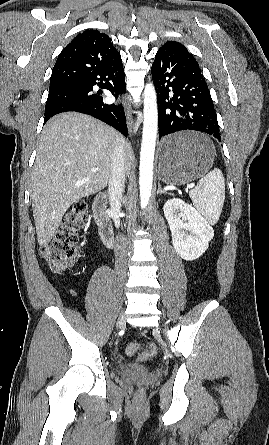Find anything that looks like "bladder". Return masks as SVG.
<instances>
[{
  "label": "bladder",
  "mask_w": 269,
  "mask_h": 445,
  "mask_svg": "<svg viewBox=\"0 0 269 445\" xmlns=\"http://www.w3.org/2000/svg\"><path fill=\"white\" fill-rule=\"evenodd\" d=\"M127 369H130V370H133V371H136V372H139V373H143V374L149 372L148 368H146L145 366L136 364V363H126V362H123V363H119V364L116 365V370L117 371H122V370H127Z\"/></svg>",
  "instance_id": "bladder-1"
}]
</instances>
